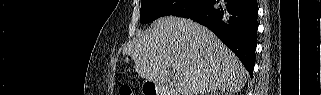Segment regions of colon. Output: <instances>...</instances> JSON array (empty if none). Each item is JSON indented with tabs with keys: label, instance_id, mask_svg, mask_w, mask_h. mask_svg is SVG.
<instances>
[{
	"label": "colon",
	"instance_id": "5ec220e1",
	"mask_svg": "<svg viewBox=\"0 0 321 95\" xmlns=\"http://www.w3.org/2000/svg\"><path fill=\"white\" fill-rule=\"evenodd\" d=\"M120 94L121 95H131L132 91L129 86L124 85L120 88Z\"/></svg>",
	"mask_w": 321,
	"mask_h": 95
}]
</instances>
